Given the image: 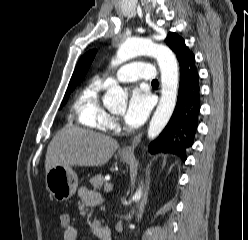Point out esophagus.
Instances as JSON below:
<instances>
[{
    "instance_id": "1",
    "label": "esophagus",
    "mask_w": 248,
    "mask_h": 240,
    "mask_svg": "<svg viewBox=\"0 0 248 240\" xmlns=\"http://www.w3.org/2000/svg\"><path fill=\"white\" fill-rule=\"evenodd\" d=\"M141 137H142V134L136 135V136L132 139L131 143H130L129 145L125 146V147L122 149L121 153H122V154H126V155L133 154L134 148L139 144V142H140V140H141Z\"/></svg>"
}]
</instances>
